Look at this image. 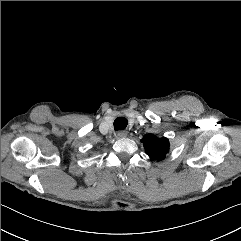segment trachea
Masks as SVG:
<instances>
[{
	"instance_id": "3493384b",
	"label": "trachea",
	"mask_w": 241,
	"mask_h": 241,
	"mask_svg": "<svg viewBox=\"0 0 241 241\" xmlns=\"http://www.w3.org/2000/svg\"><path fill=\"white\" fill-rule=\"evenodd\" d=\"M128 120L125 117H118L114 120V129L123 130L126 128Z\"/></svg>"
}]
</instances>
